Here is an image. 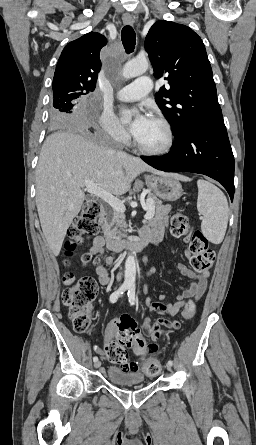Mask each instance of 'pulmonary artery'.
Wrapping results in <instances>:
<instances>
[{"label":"pulmonary artery","instance_id":"1","mask_svg":"<svg viewBox=\"0 0 256 445\" xmlns=\"http://www.w3.org/2000/svg\"><path fill=\"white\" fill-rule=\"evenodd\" d=\"M152 88V81L149 77H140L131 84L123 87L117 94L121 101H137L146 96Z\"/></svg>","mask_w":256,"mask_h":445}]
</instances>
